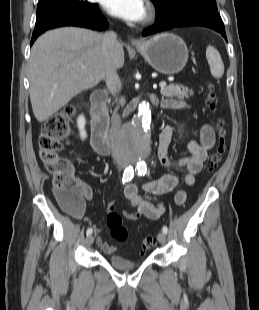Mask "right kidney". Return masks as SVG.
I'll use <instances>...</instances> for the list:
<instances>
[{
    "instance_id": "1",
    "label": "right kidney",
    "mask_w": 259,
    "mask_h": 310,
    "mask_svg": "<svg viewBox=\"0 0 259 310\" xmlns=\"http://www.w3.org/2000/svg\"><path fill=\"white\" fill-rule=\"evenodd\" d=\"M77 124H78L79 130H80V137L82 140H84L86 138L87 134H86V131L84 129L85 124H86V120H85V117L83 115L78 117Z\"/></svg>"
}]
</instances>
